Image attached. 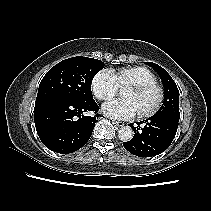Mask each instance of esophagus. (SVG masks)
Listing matches in <instances>:
<instances>
[{"instance_id":"1","label":"esophagus","mask_w":211,"mask_h":211,"mask_svg":"<svg viewBox=\"0 0 211 211\" xmlns=\"http://www.w3.org/2000/svg\"><path fill=\"white\" fill-rule=\"evenodd\" d=\"M113 123L118 127H123L125 125V123L121 121H113Z\"/></svg>"}]
</instances>
